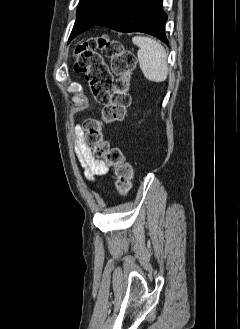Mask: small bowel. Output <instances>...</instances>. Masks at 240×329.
Instances as JSON below:
<instances>
[{
	"instance_id": "c3829d8e",
	"label": "small bowel",
	"mask_w": 240,
	"mask_h": 329,
	"mask_svg": "<svg viewBox=\"0 0 240 329\" xmlns=\"http://www.w3.org/2000/svg\"><path fill=\"white\" fill-rule=\"evenodd\" d=\"M76 135V152L81 166L84 168L85 175L89 179L104 175L108 172L106 163L94 157L91 149L84 142L85 131L81 125L75 128Z\"/></svg>"
}]
</instances>
